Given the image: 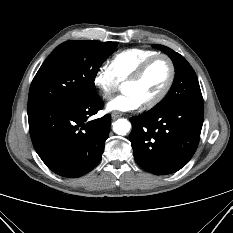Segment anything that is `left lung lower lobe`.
<instances>
[{
  "label": "left lung lower lobe",
  "mask_w": 233,
  "mask_h": 233,
  "mask_svg": "<svg viewBox=\"0 0 233 233\" xmlns=\"http://www.w3.org/2000/svg\"><path fill=\"white\" fill-rule=\"evenodd\" d=\"M201 104H178L130 119V141L137 164L166 175L180 170L195 153L203 124Z\"/></svg>",
  "instance_id": "obj_1"
}]
</instances>
